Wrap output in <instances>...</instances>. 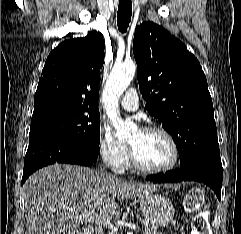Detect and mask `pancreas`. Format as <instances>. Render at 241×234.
I'll return each instance as SVG.
<instances>
[{"mask_svg":"<svg viewBox=\"0 0 241 234\" xmlns=\"http://www.w3.org/2000/svg\"><path fill=\"white\" fill-rule=\"evenodd\" d=\"M144 234H162L161 232L157 231L156 229L153 228H147L146 232Z\"/></svg>","mask_w":241,"mask_h":234,"instance_id":"obj_1","label":"pancreas"}]
</instances>
